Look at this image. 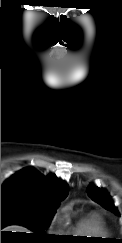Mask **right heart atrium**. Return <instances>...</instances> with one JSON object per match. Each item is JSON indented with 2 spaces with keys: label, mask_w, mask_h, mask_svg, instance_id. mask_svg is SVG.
<instances>
[{
  "label": "right heart atrium",
  "mask_w": 122,
  "mask_h": 243,
  "mask_svg": "<svg viewBox=\"0 0 122 243\" xmlns=\"http://www.w3.org/2000/svg\"><path fill=\"white\" fill-rule=\"evenodd\" d=\"M54 222H58V218L57 217L54 219Z\"/></svg>",
  "instance_id": "right-heart-atrium-1"
}]
</instances>
